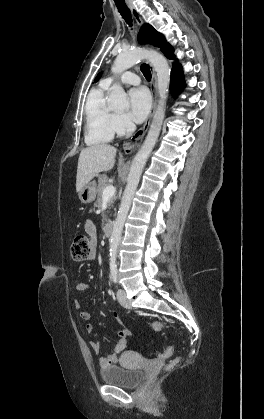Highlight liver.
<instances>
[{"mask_svg": "<svg viewBox=\"0 0 264 419\" xmlns=\"http://www.w3.org/2000/svg\"><path fill=\"white\" fill-rule=\"evenodd\" d=\"M116 152L117 149L109 144H97L83 149L78 159L76 191L79 192L100 172L111 170Z\"/></svg>", "mask_w": 264, "mask_h": 419, "instance_id": "liver-1", "label": "liver"}]
</instances>
